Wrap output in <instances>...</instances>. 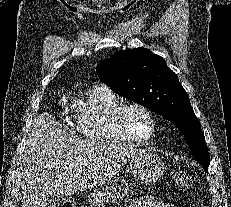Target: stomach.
I'll return each mask as SVG.
<instances>
[{"label":"stomach","instance_id":"stomach-1","mask_svg":"<svg viewBox=\"0 0 231 207\" xmlns=\"http://www.w3.org/2000/svg\"><path fill=\"white\" fill-rule=\"evenodd\" d=\"M129 169L136 182L141 185L155 183L164 172V163L159 155L147 150H140L131 156ZM129 192V185L123 178L110 180L104 191H94L88 196L90 207H105L124 198Z\"/></svg>","mask_w":231,"mask_h":207}]
</instances>
